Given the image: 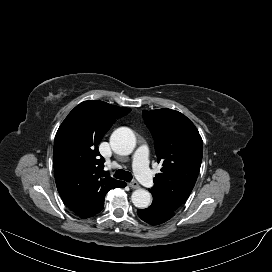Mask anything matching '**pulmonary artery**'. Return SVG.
<instances>
[{
	"mask_svg": "<svg viewBox=\"0 0 272 272\" xmlns=\"http://www.w3.org/2000/svg\"><path fill=\"white\" fill-rule=\"evenodd\" d=\"M133 164L138 179L146 187L152 188L155 183L148 167V147L146 145L143 144L137 148Z\"/></svg>",
	"mask_w": 272,
	"mask_h": 272,
	"instance_id": "obj_1",
	"label": "pulmonary artery"
}]
</instances>
